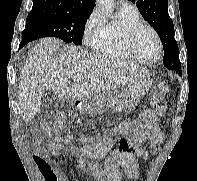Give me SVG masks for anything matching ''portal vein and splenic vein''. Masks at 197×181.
<instances>
[{"label":"portal vein and splenic vein","instance_id":"portal-vein-and-splenic-vein-1","mask_svg":"<svg viewBox=\"0 0 197 181\" xmlns=\"http://www.w3.org/2000/svg\"><path fill=\"white\" fill-rule=\"evenodd\" d=\"M72 80L73 81H82V80H84V78L80 75H75L72 77Z\"/></svg>","mask_w":197,"mask_h":181}]
</instances>
